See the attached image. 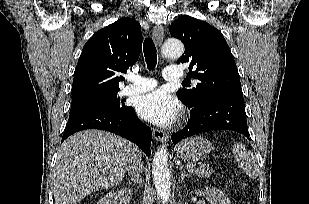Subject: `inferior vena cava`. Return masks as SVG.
Instances as JSON below:
<instances>
[{"mask_svg": "<svg viewBox=\"0 0 309 204\" xmlns=\"http://www.w3.org/2000/svg\"><path fill=\"white\" fill-rule=\"evenodd\" d=\"M128 173L133 175L134 177L138 176L141 178L142 173V162H141V155L136 157L134 161L131 163Z\"/></svg>", "mask_w": 309, "mask_h": 204, "instance_id": "inferior-vena-cava-1", "label": "inferior vena cava"}]
</instances>
